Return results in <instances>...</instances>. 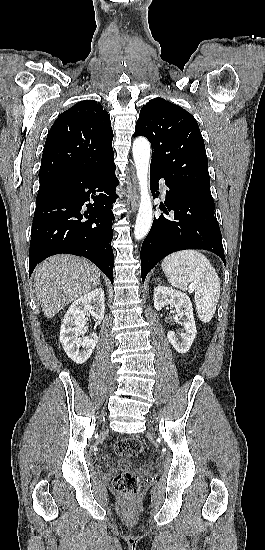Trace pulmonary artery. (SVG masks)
Here are the masks:
<instances>
[{
  "label": "pulmonary artery",
  "mask_w": 265,
  "mask_h": 550,
  "mask_svg": "<svg viewBox=\"0 0 265 550\" xmlns=\"http://www.w3.org/2000/svg\"><path fill=\"white\" fill-rule=\"evenodd\" d=\"M161 185H162V191H163V194H165V191H166V185H165V182H164V180H163V179L161 180Z\"/></svg>",
  "instance_id": "e3ab8cb5"
}]
</instances>
